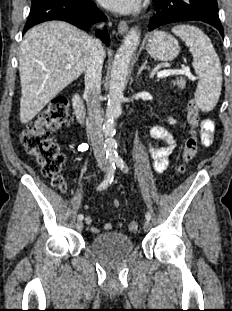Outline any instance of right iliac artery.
I'll return each mask as SVG.
<instances>
[{
	"instance_id": "82829eb1",
	"label": "right iliac artery",
	"mask_w": 232,
	"mask_h": 311,
	"mask_svg": "<svg viewBox=\"0 0 232 311\" xmlns=\"http://www.w3.org/2000/svg\"><path fill=\"white\" fill-rule=\"evenodd\" d=\"M87 148H88V146H86L84 150H87ZM115 169H116L115 161L110 160L109 161V169H108V172L106 174V177L103 180V182L97 187V190L101 191V190L107 188L112 183L113 178H114ZM83 218H84L83 214L78 215V220L81 221V220H83Z\"/></svg>"
}]
</instances>
